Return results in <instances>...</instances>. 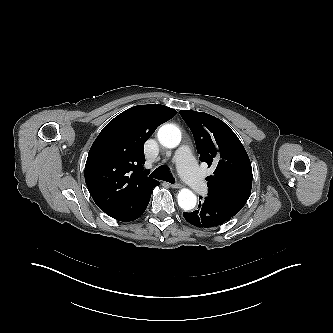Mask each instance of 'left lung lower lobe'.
<instances>
[{"instance_id":"obj_1","label":"left lung lower lobe","mask_w":333,"mask_h":333,"mask_svg":"<svg viewBox=\"0 0 333 333\" xmlns=\"http://www.w3.org/2000/svg\"><path fill=\"white\" fill-rule=\"evenodd\" d=\"M199 199L202 198L199 197ZM235 215V212L209 197H206L204 201L199 202L198 210L191 213H183L187 222L194 226L204 228L221 225Z\"/></svg>"}]
</instances>
